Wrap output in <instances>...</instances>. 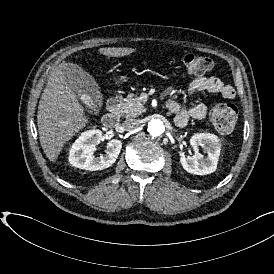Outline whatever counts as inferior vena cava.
I'll return each instance as SVG.
<instances>
[{"mask_svg": "<svg viewBox=\"0 0 274 274\" xmlns=\"http://www.w3.org/2000/svg\"><path fill=\"white\" fill-rule=\"evenodd\" d=\"M122 126L126 131H134L140 126V122L138 119L129 118L122 123Z\"/></svg>", "mask_w": 274, "mask_h": 274, "instance_id": "obj_1", "label": "inferior vena cava"}]
</instances>
